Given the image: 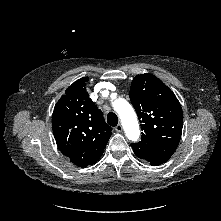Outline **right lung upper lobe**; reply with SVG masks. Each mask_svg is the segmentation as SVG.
I'll use <instances>...</instances> for the list:
<instances>
[{
	"label": "right lung upper lobe",
	"instance_id": "right-lung-upper-lobe-1",
	"mask_svg": "<svg viewBox=\"0 0 221 221\" xmlns=\"http://www.w3.org/2000/svg\"><path fill=\"white\" fill-rule=\"evenodd\" d=\"M88 77L75 81L56 103L52 115L53 134L59 150L72 163L86 167L97 162L111 136L103 113L85 89Z\"/></svg>",
	"mask_w": 221,
	"mask_h": 221
}]
</instances>
